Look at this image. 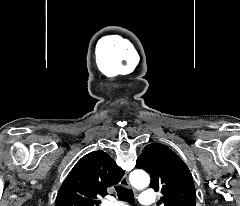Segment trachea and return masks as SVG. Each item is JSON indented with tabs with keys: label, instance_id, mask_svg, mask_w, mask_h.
I'll return each mask as SVG.
<instances>
[{
	"label": "trachea",
	"instance_id": "1",
	"mask_svg": "<svg viewBox=\"0 0 240 206\" xmlns=\"http://www.w3.org/2000/svg\"><path fill=\"white\" fill-rule=\"evenodd\" d=\"M115 189L119 199L126 200L128 202H134V195L131 189L123 186H116Z\"/></svg>",
	"mask_w": 240,
	"mask_h": 206
}]
</instances>
